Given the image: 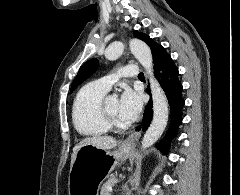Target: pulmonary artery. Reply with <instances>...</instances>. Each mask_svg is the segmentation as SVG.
Instances as JSON below:
<instances>
[{"label": "pulmonary artery", "instance_id": "e3ab8cb5", "mask_svg": "<svg viewBox=\"0 0 240 195\" xmlns=\"http://www.w3.org/2000/svg\"><path fill=\"white\" fill-rule=\"evenodd\" d=\"M124 71H120L119 75L120 76H136V74L138 73L137 70V66L136 65H125L123 67ZM116 74V73H115ZM123 78V77H122ZM116 77L112 76V77H105V78H99L98 82L99 83H103V85L105 86L106 89L110 90L112 85L115 83L116 81Z\"/></svg>", "mask_w": 240, "mask_h": 195}]
</instances>
